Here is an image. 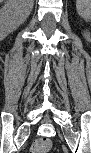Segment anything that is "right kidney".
<instances>
[{"label":"right kidney","instance_id":"obj_1","mask_svg":"<svg viewBox=\"0 0 91 153\" xmlns=\"http://www.w3.org/2000/svg\"><path fill=\"white\" fill-rule=\"evenodd\" d=\"M24 0H7L0 10V37L4 39L27 19L31 7Z\"/></svg>","mask_w":91,"mask_h":153}]
</instances>
